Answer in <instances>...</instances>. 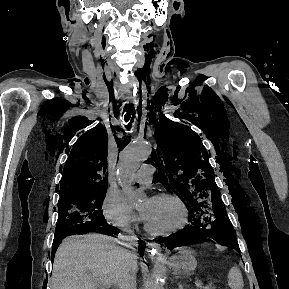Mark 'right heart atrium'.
<instances>
[{
    "label": "right heart atrium",
    "instance_id": "obj_1",
    "mask_svg": "<svg viewBox=\"0 0 289 289\" xmlns=\"http://www.w3.org/2000/svg\"><path fill=\"white\" fill-rule=\"evenodd\" d=\"M102 209L106 221L111 226L126 232H130L135 228L137 224L136 216L115 192L109 191L106 194Z\"/></svg>",
    "mask_w": 289,
    "mask_h": 289
}]
</instances>
